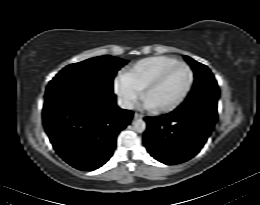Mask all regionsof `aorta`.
Instances as JSON below:
<instances>
[{"label":"aorta","mask_w":260,"mask_h":205,"mask_svg":"<svg viewBox=\"0 0 260 205\" xmlns=\"http://www.w3.org/2000/svg\"><path fill=\"white\" fill-rule=\"evenodd\" d=\"M134 130L138 133H142L146 129V123L142 119H136L133 121Z\"/></svg>","instance_id":"762f6f07"}]
</instances>
